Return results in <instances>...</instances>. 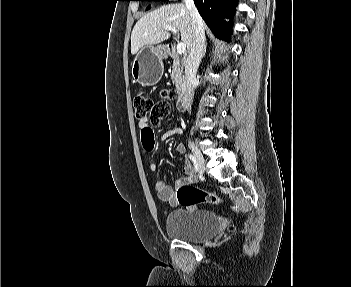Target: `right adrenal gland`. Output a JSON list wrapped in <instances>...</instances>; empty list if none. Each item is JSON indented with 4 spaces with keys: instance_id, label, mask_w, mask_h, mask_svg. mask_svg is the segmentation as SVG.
Listing matches in <instances>:
<instances>
[{
    "instance_id": "obj_1",
    "label": "right adrenal gland",
    "mask_w": 351,
    "mask_h": 287,
    "mask_svg": "<svg viewBox=\"0 0 351 287\" xmlns=\"http://www.w3.org/2000/svg\"><path fill=\"white\" fill-rule=\"evenodd\" d=\"M206 47H207V44L204 45V49H203V53H202V56L201 58L203 59V57L205 56V53H206Z\"/></svg>"
}]
</instances>
